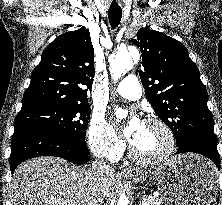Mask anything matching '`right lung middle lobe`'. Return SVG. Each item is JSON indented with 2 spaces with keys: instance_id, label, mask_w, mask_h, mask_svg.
Segmentation results:
<instances>
[{
  "instance_id": "obj_1",
  "label": "right lung middle lobe",
  "mask_w": 222,
  "mask_h": 205,
  "mask_svg": "<svg viewBox=\"0 0 222 205\" xmlns=\"http://www.w3.org/2000/svg\"><path fill=\"white\" fill-rule=\"evenodd\" d=\"M90 117L88 104H52L19 112L15 127L36 126L85 142Z\"/></svg>"
}]
</instances>
